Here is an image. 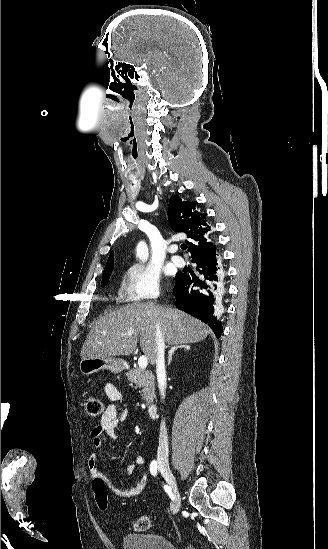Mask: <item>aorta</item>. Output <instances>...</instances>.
Listing matches in <instances>:
<instances>
[{
  "label": "aorta",
  "mask_w": 328,
  "mask_h": 549,
  "mask_svg": "<svg viewBox=\"0 0 328 549\" xmlns=\"http://www.w3.org/2000/svg\"><path fill=\"white\" fill-rule=\"evenodd\" d=\"M137 255L139 256V258H143V256H144V251H143L142 245H139V246H138Z\"/></svg>",
  "instance_id": "obj_1"
}]
</instances>
